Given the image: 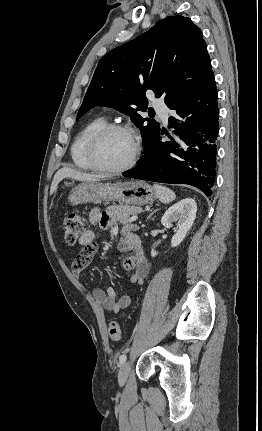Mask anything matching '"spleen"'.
<instances>
[{
  "mask_svg": "<svg viewBox=\"0 0 262 431\" xmlns=\"http://www.w3.org/2000/svg\"><path fill=\"white\" fill-rule=\"evenodd\" d=\"M153 189L156 193V196L159 198V200L165 204L174 201L176 198L175 193L171 189L165 186L154 184Z\"/></svg>",
  "mask_w": 262,
  "mask_h": 431,
  "instance_id": "1",
  "label": "spleen"
}]
</instances>
